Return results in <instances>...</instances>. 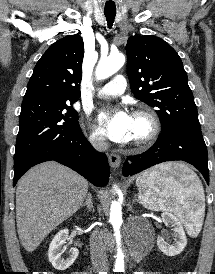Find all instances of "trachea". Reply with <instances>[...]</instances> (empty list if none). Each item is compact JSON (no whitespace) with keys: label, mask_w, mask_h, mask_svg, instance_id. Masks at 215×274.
Instances as JSON below:
<instances>
[{"label":"trachea","mask_w":215,"mask_h":274,"mask_svg":"<svg viewBox=\"0 0 215 274\" xmlns=\"http://www.w3.org/2000/svg\"><path fill=\"white\" fill-rule=\"evenodd\" d=\"M115 13H105V17L108 23V28H111L115 19Z\"/></svg>","instance_id":"3493384b"}]
</instances>
